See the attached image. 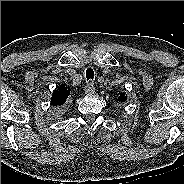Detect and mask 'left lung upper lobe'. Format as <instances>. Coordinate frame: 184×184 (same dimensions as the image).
<instances>
[{
  "mask_svg": "<svg viewBox=\"0 0 184 184\" xmlns=\"http://www.w3.org/2000/svg\"><path fill=\"white\" fill-rule=\"evenodd\" d=\"M127 100V95L125 93H121L118 97L119 102H125Z\"/></svg>",
  "mask_w": 184,
  "mask_h": 184,
  "instance_id": "5c2ea615",
  "label": "left lung upper lobe"
}]
</instances>
